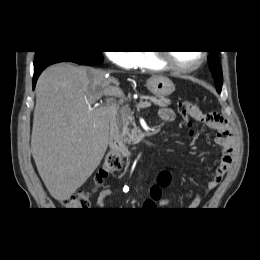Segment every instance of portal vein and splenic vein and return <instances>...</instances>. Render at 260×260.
I'll return each instance as SVG.
<instances>
[{
	"label": "portal vein and splenic vein",
	"instance_id": "obj_1",
	"mask_svg": "<svg viewBox=\"0 0 260 260\" xmlns=\"http://www.w3.org/2000/svg\"><path fill=\"white\" fill-rule=\"evenodd\" d=\"M106 94L112 95V96H115V97H119V98L125 97L123 91L120 88H117V87L111 88ZM150 106H151V103L148 102V101H144V102L142 101V102H139L137 104L138 108H148Z\"/></svg>",
	"mask_w": 260,
	"mask_h": 260
}]
</instances>
